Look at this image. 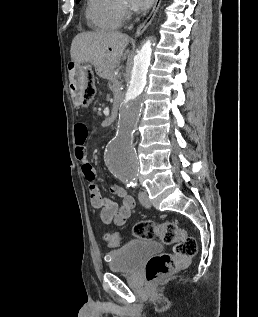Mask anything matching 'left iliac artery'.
<instances>
[{
	"instance_id": "1",
	"label": "left iliac artery",
	"mask_w": 258,
	"mask_h": 317,
	"mask_svg": "<svg viewBox=\"0 0 258 317\" xmlns=\"http://www.w3.org/2000/svg\"><path fill=\"white\" fill-rule=\"evenodd\" d=\"M125 181L129 183L130 186L133 188H138L137 178L136 177H129L125 178Z\"/></svg>"
}]
</instances>
